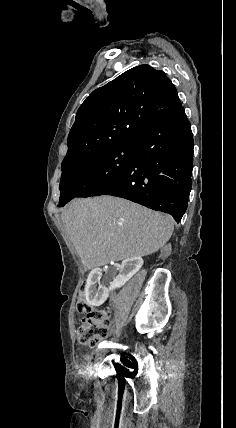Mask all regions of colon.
<instances>
[{"label":"colon","instance_id":"1","mask_svg":"<svg viewBox=\"0 0 236 428\" xmlns=\"http://www.w3.org/2000/svg\"><path fill=\"white\" fill-rule=\"evenodd\" d=\"M85 284L79 288L78 310L85 313L81 320L76 335L80 344L95 347L108 334V314L102 310H96L85 300Z\"/></svg>","mask_w":236,"mask_h":428}]
</instances>
